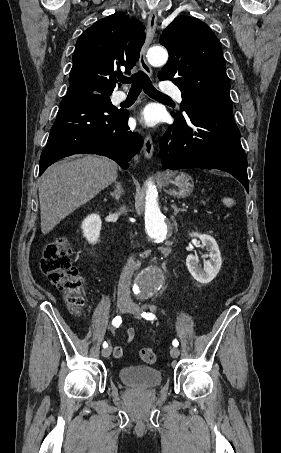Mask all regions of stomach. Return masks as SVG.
I'll return each instance as SVG.
<instances>
[{"mask_svg":"<svg viewBox=\"0 0 281 453\" xmlns=\"http://www.w3.org/2000/svg\"><path fill=\"white\" fill-rule=\"evenodd\" d=\"M162 184L165 192L177 198L189 196L194 188L193 178L186 172H166L163 174Z\"/></svg>","mask_w":281,"mask_h":453,"instance_id":"stomach-1","label":"stomach"}]
</instances>
